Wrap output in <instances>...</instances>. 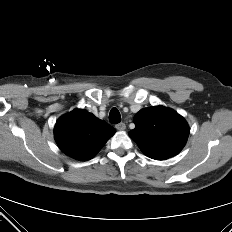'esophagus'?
I'll use <instances>...</instances> for the list:
<instances>
[{"instance_id":"esophagus-1","label":"esophagus","mask_w":232,"mask_h":232,"mask_svg":"<svg viewBox=\"0 0 232 232\" xmlns=\"http://www.w3.org/2000/svg\"><path fill=\"white\" fill-rule=\"evenodd\" d=\"M115 127H116V129L119 130V131H123V130L126 129L125 123H118V124H116Z\"/></svg>"}]
</instances>
